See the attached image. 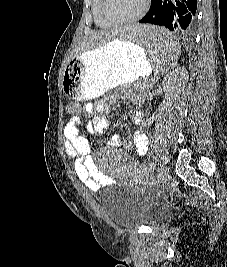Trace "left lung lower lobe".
<instances>
[{"instance_id": "1", "label": "left lung lower lobe", "mask_w": 227, "mask_h": 267, "mask_svg": "<svg viewBox=\"0 0 227 267\" xmlns=\"http://www.w3.org/2000/svg\"><path fill=\"white\" fill-rule=\"evenodd\" d=\"M196 9L197 0H151L149 12L139 22L164 26L188 38L194 31Z\"/></svg>"}]
</instances>
